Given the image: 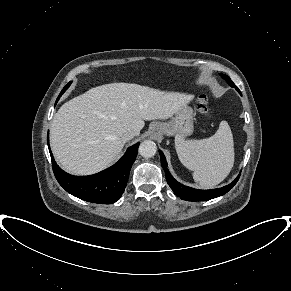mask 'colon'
I'll use <instances>...</instances> for the list:
<instances>
[{
	"mask_svg": "<svg viewBox=\"0 0 291 291\" xmlns=\"http://www.w3.org/2000/svg\"><path fill=\"white\" fill-rule=\"evenodd\" d=\"M198 108L202 114H207L209 112L210 105H209V101H208L206 96L200 97Z\"/></svg>",
	"mask_w": 291,
	"mask_h": 291,
	"instance_id": "obj_1",
	"label": "colon"
}]
</instances>
